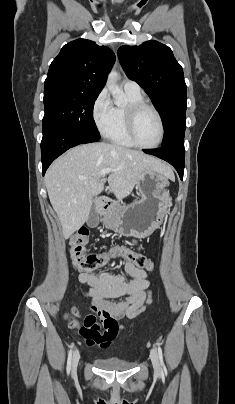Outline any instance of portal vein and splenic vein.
Returning a JSON list of instances; mask_svg holds the SVG:
<instances>
[{"instance_id": "obj_1", "label": "portal vein and splenic vein", "mask_w": 235, "mask_h": 404, "mask_svg": "<svg viewBox=\"0 0 235 404\" xmlns=\"http://www.w3.org/2000/svg\"><path fill=\"white\" fill-rule=\"evenodd\" d=\"M110 172H112L111 168H105L102 171H100V173L98 174V176H105L106 174H109ZM82 180H86V178L81 177Z\"/></svg>"}]
</instances>
